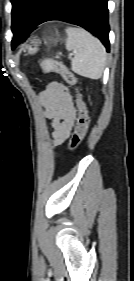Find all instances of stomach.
<instances>
[{"label":"stomach","instance_id":"1","mask_svg":"<svg viewBox=\"0 0 134 281\" xmlns=\"http://www.w3.org/2000/svg\"><path fill=\"white\" fill-rule=\"evenodd\" d=\"M29 54H35L38 51V42L33 41L31 45L27 47Z\"/></svg>","mask_w":134,"mask_h":281}]
</instances>
